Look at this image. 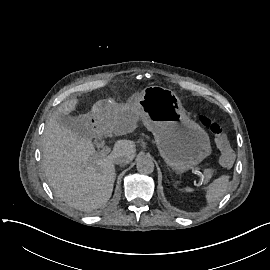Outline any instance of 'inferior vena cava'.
Masks as SVG:
<instances>
[{"instance_id":"inferior-vena-cava-1","label":"inferior vena cava","mask_w":270,"mask_h":270,"mask_svg":"<svg viewBox=\"0 0 270 270\" xmlns=\"http://www.w3.org/2000/svg\"><path fill=\"white\" fill-rule=\"evenodd\" d=\"M114 163L116 164H128V160L125 156L116 155L114 158Z\"/></svg>"}]
</instances>
